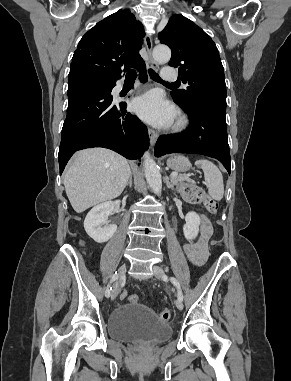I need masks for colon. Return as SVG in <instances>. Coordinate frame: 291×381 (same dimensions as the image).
I'll return each mask as SVG.
<instances>
[{
	"instance_id": "colon-1",
	"label": "colon",
	"mask_w": 291,
	"mask_h": 381,
	"mask_svg": "<svg viewBox=\"0 0 291 381\" xmlns=\"http://www.w3.org/2000/svg\"><path fill=\"white\" fill-rule=\"evenodd\" d=\"M182 196L191 203H203L208 212L215 214L218 211V203L215 199L209 197L204 189L199 185L186 183L180 187ZM121 299H128L130 302H138V296L135 294L128 295L125 291L120 294ZM171 317L170 309H164L159 313V318L167 322Z\"/></svg>"
}]
</instances>
